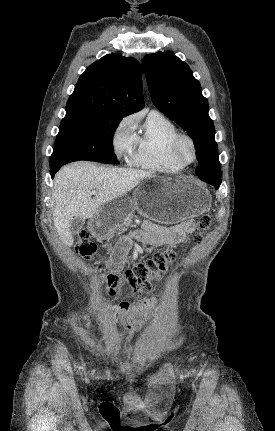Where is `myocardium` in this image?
<instances>
[{
    "label": "myocardium",
    "instance_id": "obj_1",
    "mask_svg": "<svg viewBox=\"0 0 275 431\" xmlns=\"http://www.w3.org/2000/svg\"><path fill=\"white\" fill-rule=\"evenodd\" d=\"M183 142H187L190 145L192 156L189 161H185L180 152V147ZM171 155L172 158L182 167H187L193 164L197 159V146L193 137L187 133H179L172 141L171 144Z\"/></svg>",
    "mask_w": 275,
    "mask_h": 431
}]
</instances>
